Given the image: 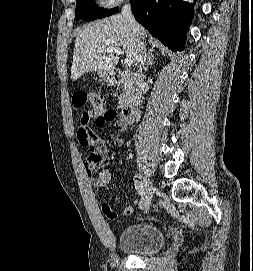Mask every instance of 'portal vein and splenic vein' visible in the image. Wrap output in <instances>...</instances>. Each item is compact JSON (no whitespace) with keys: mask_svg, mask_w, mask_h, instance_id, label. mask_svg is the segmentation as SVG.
I'll return each mask as SVG.
<instances>
[{"mask_svg":"<svg viewBox=\"0 0 253 271\" xmlns=\"http://www.w3.org/2000/svg\"><path fill=\"white\" fill-rule=\"evenodd\" d=\"M104 50H101V52H103ZM105 52H112V53H116V54H118V55H122V54H124V52L121 50V49H119V48H107L106 50H105ZM124 65L126 66V67H130V66H132L133 65V61H132V59H129V58H126L125 60H124Z\"/></svg>","mask_w":253,"mask_h":271,"instance_id":"18ae733b","label":"portal vein and splenic vein"}]
</instances>
